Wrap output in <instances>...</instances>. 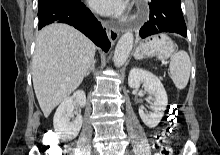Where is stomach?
Instances as JSON below:
<instances>
[{"label": "stomach", "instance_id": "0dacf381", "mask_svg": "<svg viewBox=\"0 0 220 155\" xmlns=\"http://www.w3.org/2000/svg\"><path fill=\"white\" fill-rule=\"evenodd\" d=\"M174 50V42L166 34L160 33L143 41L136 49L135 57L142 59L157 56L159 59H167Z\"/></svg>", "mask_w": 220, "mask_h": 155}]
</instances>
